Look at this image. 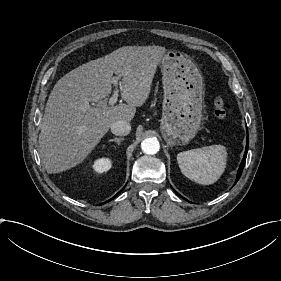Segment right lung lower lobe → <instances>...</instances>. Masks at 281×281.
Here are the masks:
<instances>
[{"label":"right lung lower lobe","mask_w":281,"mask_h":281,"mask_svg":"<svg viewBox=\"0 0 281 281\" xmlns=\"http://www.w3.org/2000/svg\"><path fill=\"white\" fill-rule=\"evenodd\" d=\"M120 192H118L113 198H111L110 200H108L107 202L111 201L112 199H114Z\"/></svg>","instance_id":"1"}]
</instances>
